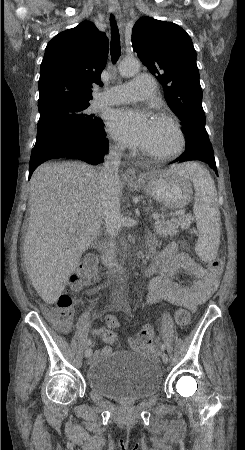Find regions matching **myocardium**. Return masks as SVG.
<instances>
[{
  "label": "myocardium",
  "instance_id": "f54148a6",
  "mask_svg": "<svg viewBox=\"0 0 245 450\" xmlns=\"http://www.w3.org/2000/svg\"><path fill=\"white\" fill-rule=\"evenodd\" d=\"M154 121L163 122L167 124L176 134V144L173 148L166 151H144L148 157L158 160H167L180 155L186 148V136L178 122V120L167 112H161L154 116Z\"/></svg>",
  "mask_w": 245,
  "mask_h": 450
}]
</instances>
